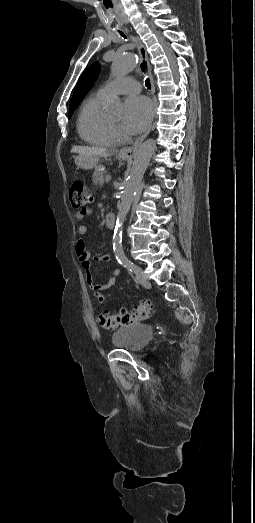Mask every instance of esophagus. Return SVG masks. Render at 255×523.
<instances>
[{"instance_id":"1","label":"esophagus","mask_w":255,"mask_h":523,"mask_svg":"<svg viewBox=\"0 0 255 523\" xmlns=\"http://www.w3.org/2000/svg\"><path fill=\"white\" fill-rule=\"evenodd\" d=\"M132 40H133V42H135L137 44V49H138V52H139V55H140V69L145 71L148 74L149 79H150V83H151V93L154 94L155 93V85H154V80H153V76H152L151 67H150V63H149V59H148L146 48H145L144 44L141 41H139L138 38H135V37L132 36ZM155 115H156V110H155V107H153V110H152L153 118L155 117ZM150 131H151V126H149L147 128V130L139 138H137V140L133 143V145H130V146H127V147H123L120 150V153L122 155H124L125 157H127V158L134 157V155H135L139 145L147 137V135L150 133Z\"/></svg>"}]
</instances>
